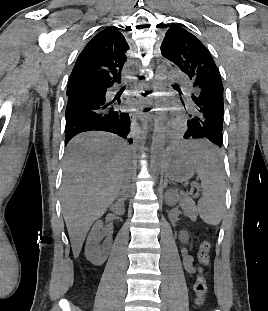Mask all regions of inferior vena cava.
<instances>
[{"mask_svg": "<svg viewBox=\"0 0 268 311\" xmlns=\"http://www.w3.org/2000/svg\"><path fill=\"white\" fill-rule=\"evenodd\" d=\"M130 192V185H129V178L126 177L125 181L122 184V190H121V194L123 197H128Z\"/></svg>", "mask_w": 268, "mask_h": 311, "instance_id": "inferior-vena-cava-1", "label": "inferior vena cava"}]
</instances>
